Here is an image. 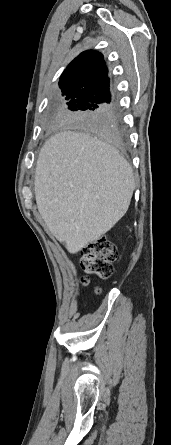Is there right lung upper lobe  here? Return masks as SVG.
Segmentation results:
<instances>
[{"label": "right lung upper lobe", "mask_w": 171, "mask_h": 445, "mask_svg": "<svg viewBox=\"0 0 171 445\" xmlns=\"http://www.w3.org/2000/svg\"><path fill=\"white\" fill-rule=\"evenodd\" d=\"M59 86L63 93H82L114 101L110 91L108 69L103 55L96 51L82 52L64 70Z\"/></svg>", "instance_id": "cb5924a9"}]
</instances>
